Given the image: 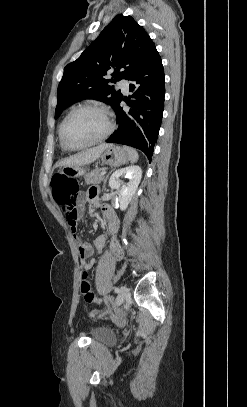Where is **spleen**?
Returning <instances> with one entry per match:
<instances>
[{
    "label": "spleen",
    "instance_id": "obj_1",
    "mask_svg": "<svg viewBox=\"0 0 247 407\" xmlns=\"http://www.w3.org/2000/svg\"><path fill=\"white\" fill-rule=\"evenodd\" d=\"M124 149L128 152L131 163H135L139 157L137 151L131 147H124Z\"/></svg>",
    "mask_w": 247,
    "mask_h": 407
}]
</instances>
